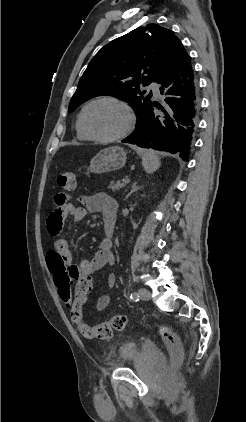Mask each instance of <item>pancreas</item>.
Segmentation results:
<instances>
[{
	"instance_id": "obj_1",
	"label": "pancreas",
	"mask_w": 246,
	"mask_h": 422,
	"mask_svg": "<svg viewBox=\"0 0 246 422\" xmlns=\"http://www.w3.org/2000/svg\"><path fill=\"white\" fill-rule=\"evenodd\" d=\"M124 186V183H120V181H117L116 184H114V181H112L109 185V188L112 190H119Z\"/></svg>"
}]
</instances>
